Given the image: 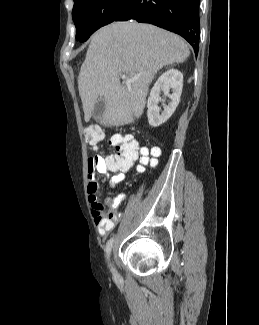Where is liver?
I'll list each match as a JSON object with an SVG mask.
<instances>
[{"mask_svg": "<svg viewBox=\"0 0 259 325\" xmlns=\"http://www.w3.org/2000/svg\"><path fill=\"white\" fill-rule=\"evenodd\" d=\"M190 55L178 35L151 24L114 22L91 38L79 77L78 89L88 122L98 99L105 102L101 121L124 126L143 114L149 85L163 66L182 63ZM126 75L135 79L121 84Z\"/></svg>", "mask_w": 259, "mask_h": 325, "instance_id": "6515ba94", "label": "liver"}]
</instances>
